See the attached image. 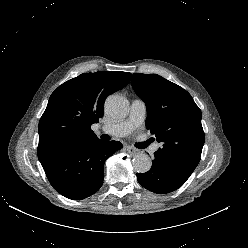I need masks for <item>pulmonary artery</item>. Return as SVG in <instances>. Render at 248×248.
Masks as SVG:
<instances>
[{
	"label": "pulmonary artery",
	"mask_w": 248,
	"mask_h": 248,
	"mask_svg": "<svg viewBox=\"0 0 248 248\" xmlns=\"http://www.w3.org/2000/svg\"><path fill=\"white\" fill-rule=\"evenodd\" d=\"M146 110V104L143 100L133 99L127 119L104 124L99 132L115 137H124L144 122Z\"/></svg>",
	"instance_id": "e3ab8cb5"
}]
</instances>
